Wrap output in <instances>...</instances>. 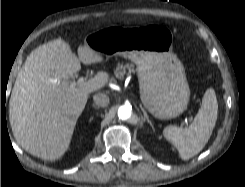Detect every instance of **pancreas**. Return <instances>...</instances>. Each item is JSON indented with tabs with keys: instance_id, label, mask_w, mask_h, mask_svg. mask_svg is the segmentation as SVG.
<instances>
[{
	"instance_id": "pancreas-1",
	"label": "pancreas",
	"mask_w": 245,
	"mask_h": 187,
	"mask_svg": "<svg viewBox=\"0 0 245 187\" xmlns=\"http://www.w3.org/2000/svg\"><path fill=\"white\" fill-rule=\"evenodd\" d=\"M128 71V74L134 73L136 70L134 68V64H118L115 69V76L122 80L124 78V75Z\"/></svg>"
}]
</instances>
